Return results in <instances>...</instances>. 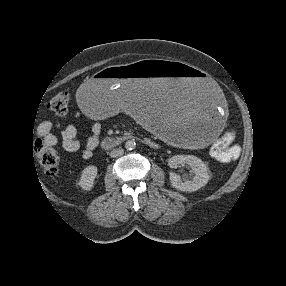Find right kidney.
I'll use <instances>...</instances> for the list:
<instances>
[{
    "label": "right kidney",
    "mask_w": 286,
    "mask_h": 286,
    "mask_svg": "<svg viewBox=\"0 0 286 286\" xmlns=\"http://www.w3.org/2000/svg\"><path fill=\"white\" fill-rule=\"evenodd\" d=\"M98 169L96 166L90 165L84 168L81 173V177L78 185L82 190H91L94 186L95 178L97 177Z\"/></svg>",
    "instance_id": "obj_1"
}]
</instances>
